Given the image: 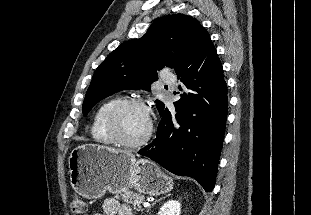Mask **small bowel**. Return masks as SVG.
<instances>
[{
	"label": "small bowel",
	"instance_id": "small-bowel-1",
	"mask_svg": "<svg viewBox=\"0 0 311 215\" xmlns=\"http://www.w3.org/2000/svg\"><path fill=\"white\" fill-rule=\"evenodd\" d=\"M94 215H133V212L130 206L109 198L104 201L103 212Z\"/></svg>",
	"mask_w": 311,
	"mask_h": 215
}]
</instances>
